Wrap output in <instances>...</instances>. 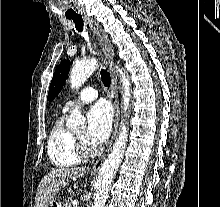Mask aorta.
<instances>
[{"label": "aorta", "mask_w": 220, "mask_h": 207, "mask_svg": "<svg viewBox=\"0 0 220 207\" xmlns=\"http://www.w3.org/2000/svg\"><path fill=\"white\" fill-rule=\"evenodd\" d=\"M98 62L96 59H90L84 62H76L70 73V84L73 89H79L82 84L92 75L97 69ZM117 72L121 77L122 84V103L121 110L124 118L128 117L130 108L131 83L128 75L122 69L117 67ZM124 121V119H123ZM66 126L69 129H82L85 127V118L82 116L78 107H75L67 120ZM128 138V127L126 121L122 123L119 129V134L113 145V148L100 168L96 191L94 194V206L104 207L108 198L109 188L113 178L123 158L126 142Z\"/></svg>", "instance_id": "762f6f07"}]
</instances>
